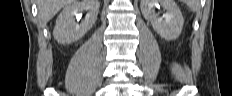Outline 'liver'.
Returning a JSON list of instances; mask_svg holds the SVG:
<instances>
[{
    "label": "liver",
    "instance_id": "obj_1",
    "mask_svg": "<svg viewBox=\"0 0 232 96\" xmlns=\"http://www.w3.org/2000/svg\"><path fill=\"white\" fill-rule=\"evenodd\" d=\"M73 0H37L38 16L43 25L50 21L55 14Z\"/></svg>",
    "mask_w": 232,
    "mask_h": 96
}]
</instances>
